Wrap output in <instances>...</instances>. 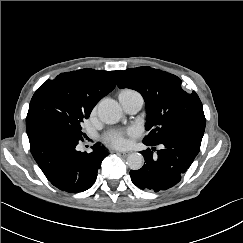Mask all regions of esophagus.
Listing matches in <instances>:
<instances>
[{"instance_id":"34e87169","label":"esophagus","mask_w":243,"mask_h":243,"mask_svg":"<svg viewBox=\"0 0 243 243\" xmlns=\"http://www.w3.org/2000/svg\"><path fill=\"white\" fill-rule=\"evenodd\" d=\"M116 153L122 157H127L130 154L128 151H116Z\"/></svg>"}]
</instances>
